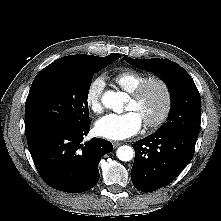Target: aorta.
<instances>
[{
	"label": "aorta",
	"instance_id": "obj_1",
	"mask_svg": "<svg viewBox=\"0 0 221 221\" xmlns=\"http://www.w3.org/2000/svg\"><path fill=\"white\" fill-rule=\"evenodd\" d=\"M124 101L125 94L122 92L107 91L102 97L103 105L117 113L122 112ZM116 156L119 160L127 162L133 159L134 150L130 146L123 145L117 149Z\"/></svg>",
	"mask_w": 221,
	"mask_h": 221
}]
</instances>
